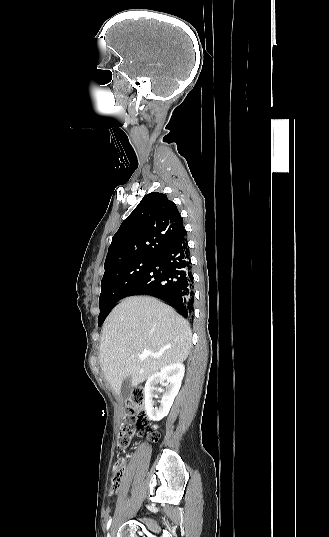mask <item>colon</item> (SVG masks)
Returning <instances> with one entry per match:
<instances>
[{"label":"colon","instance_id":"1","mask_svg":"<svg viewBox=\"0 0 329 537\" xmlns=\"http://www.w3.org/2000/svg\"><path fill=\"white\" fill-rule=\"evenodd\" d=\"M149 420L145 414V392L142 388H135L126 398V412L121 424L120 433L117 437V447L119 450H126L132 438L141 430L149 427ZM149 437L157 440L158 433L153 428ZM123 477V468L120 462L114 468L110 493L114 494L120 488Z\"/></svg>","mask_w":329,"mask_h":537}]
</instances>
